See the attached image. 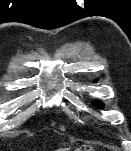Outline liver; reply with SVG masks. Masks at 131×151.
I'll return each instance as SVG.
<instances>
[{"instance_id": "obj_1", "label": "liver", "mask_w": 131, "mask_h": 151, "mask_svg": "<svg viewBox=\"0 0 131 151\" xmlns=\"http://www.w3.org/2000/svg\"><path fill=\"white\" fill-rule=\"evenodd\" d=\"M67 149H62V151H66Z\"/></svg>"}]
</instances>
